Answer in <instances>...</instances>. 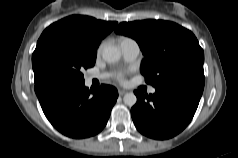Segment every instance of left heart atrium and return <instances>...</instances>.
I'll list each match as a JSON object with an SVG mask.
<instances>
[{
  "instance_id": "obj_1",
  "label": "left heart atrium",
  "mask_w": 238,
  "mask_h": 158,
  "mask_svg": "<svg viewBox=\"0 0 238 158\" xmlns=\"http://www.w3.org/2000/svg\"><path fill=\"white\" fill-rule=\"evenodd\" d=\"M118 78L121 80V79L123 78V74L120 73V74L118 75Z\"/></svg>"
}]
</instances>
